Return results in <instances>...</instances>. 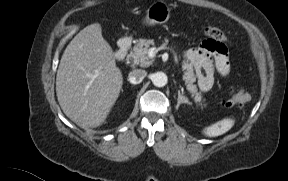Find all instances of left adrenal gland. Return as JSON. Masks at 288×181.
Instances as JSON below:
<instances>
[{
	"label": "left adrenal gland",
	"instance_id": "a2214340",
	"mask_svg": "<svg viewBox=\"0 0 288 181\" xmlns=\"http://www.w3.org/2000/svg\"><path fill=\"white\" fill-rule=\"evenodd\" d=\"M178 104L177 106H179L182 103H186L191 105V102H189L188 98L183 96V93L178 92V98H177Z\"/></svg>",
	"mask_w": 288,
	"mask_h": 181
}]
</instances>
